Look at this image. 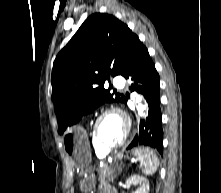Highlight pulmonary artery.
<instances>
[{
  "label": "pulmonary artery",
  "instance_id": "obj_1",
  "mask_svg": "<svg viewBox=\"0 0 221 193\" xmlns=\"http://www.w3.org/2000/svg\"><path fill=\"white\" fill-rule=\"evenodd\" d=\"M114 85H115L117 88H122V87L125 85L124 78L121 77V76H116V77L114 78Z\"/></svg>",
  "mask_w": 221,
  "mask_h": 193
}]
</instances>
